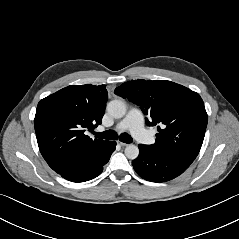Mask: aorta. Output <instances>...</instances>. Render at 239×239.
Masks as SVG:
<instances>
[{"label": "aorta", "instance_id": "aorta-1", "mask_svg": "<svg viewBox=\"0 0 239 239\" xmlns=\"http://www.w3.org/2000/svg\"><path fill=\"white\" fill-rule=\"evenodd\" d=\"M107 111L114 118H122L126 113V105L123 101L113 100L107 104ZM125 155L128 159H136L139 155L138 147L134 144L127 145Z\"/></svg>", "mask_w": 239, "mask_h": 239}]
</instances>
